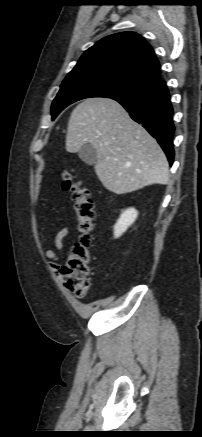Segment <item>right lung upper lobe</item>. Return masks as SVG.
I'll return each instance as SVG.
<instances>
[{
  "instance_id": "right-lung-upper-lobe-1",
  "label": "right lung upper lobe",
  "mask_w": 202,
  "mask_h": 437,
  "mask_svg": "<svg viewBox=\"0 0 202 437\" xmlns=\"http://www.w3.org/2000/svg\"><path fill=\"white\" fill-rule=\"evenodd\" d=\"M111 71L154 84L160 79L152 47L137 33L109 35L85 51L71 72Z\"/></svg>"
}]
</instances>
